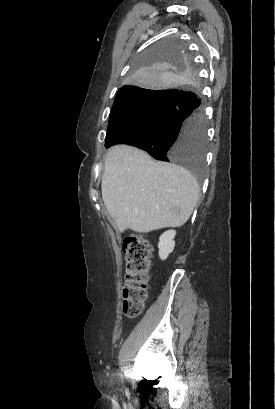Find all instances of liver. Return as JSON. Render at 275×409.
Masks as SVG:
<instances>
[{
	"mask_svg": "<svg viewBox=\"0 0 275 409\" xmlns=\"http://www.w3.org/2000/svg\"><path fill=\"white\" fill-rule=\"evenodd\" d=\"M101 190L121 233L181 227L199 196V184L190 170L173 162H155L144 150L127 144L108 150Z\"/></svg>",
	"mask_w": 275,
	"mask_h": 409,
	"instance_id": "liver-1",
	"label": "liver"
}]
</instances>
